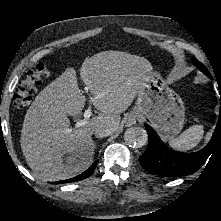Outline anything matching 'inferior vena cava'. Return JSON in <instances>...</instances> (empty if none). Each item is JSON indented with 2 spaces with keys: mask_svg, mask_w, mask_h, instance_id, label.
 I'll return each instance as SVG.
<instances>
[{
  "mask_svg": "<svg viewBox=\"0 0 221 221\" xmlns=\"http://www.w3.org/2000/svg\"><path fill=\"white\" fill-rule=\"evenodd\" d=\"M112 131V128L99 127L95 129L94 133L97 138H102L111 135Z\"/></svg>",
  "mask_w": 221,
  "mask_h": 221,
  "instance_id": "1",
  "label": "inferior vena cava"
}]
</instances>
